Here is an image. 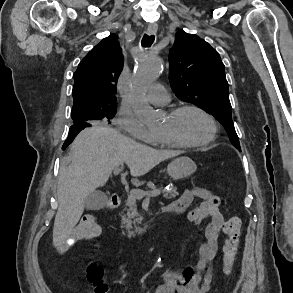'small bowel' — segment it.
Here are the masks:
<instances>
[{"instance_id":"c3829d8e","label":"small bowel","mask_w":293,"mask_h":293,"mask_svg":"<svg viewBox=\"0 0 293 293\" xmlns=\"http://www.w3.org/2000/svg\"><path fill=\"white\" fill-rule=\"evenodd\" d=\"M195 198L201 201L193 206ZM170 206L177 213L188 211V220L196 227L207 220L205 241L200 246L198 262L181 271L166 272L155 293H209L214 277L211 263L216 257L219 234L225 224L219 208L220 198L206 189L193 188L185 190Z\"/></svg>"}]
</instances>
